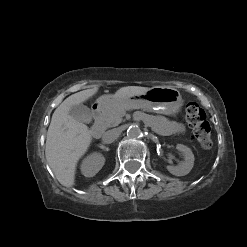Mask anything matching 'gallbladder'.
<instances>
[{"mask_svg": "<svg viewBox=\"0 0 247 247\" xmlns=\"http://www.w3.org/2000/svg\"><path fill=\"white\" fill-rule=\"evenodd\" d=\"M69 114L80 122L90 123L92 120L90 109L83 104L73 105L69 110Z\"/></svg>", "mask_w": 247, "mask_h": 247, "instance_id": "obj_1", "label": "gallbladder"}]
</instances>
